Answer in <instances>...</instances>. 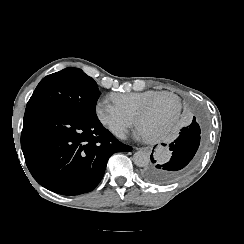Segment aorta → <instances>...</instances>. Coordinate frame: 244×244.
<instances>
[{
    "instance_id": "1",
    "label": "aorta",
    "mask_w": 244,
    "mask_h": 244,
    "mask_svg": "<svg viewBox=\"0 0 244 244\" xmlns=\"http://www.w3.org/2000/svg\"><path fill=\"white\" fill-rule=\"evenodd\" d=\"M133 162L138 167H145L150 162V153L148 151L139 150L133 155Z\"/></svg>"
}]
</instances>
